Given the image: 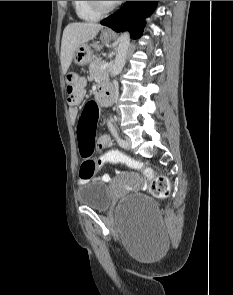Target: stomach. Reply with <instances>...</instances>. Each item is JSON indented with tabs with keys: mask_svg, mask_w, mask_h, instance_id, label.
Here are the masks:
<instances>
[{
	"mask_svg": "<svg viewBox=\"0 0 233 295\" xmlns=\"http://www.w3.org/2000/svg\"><path fill=\"white\" fill-rule=\"evenodd\" d=\"M113 36L114 34L112 32L104 30L100 34V40L102 42H109L113 38ZM91 47H94L97 50L100 49V46L97 43L91 45L84 43L77 48L73 56L75 64L79 66H85L89 62H91L93 53Z\"/></svg>",
	"mask_w": 233,
	"mask_h": 295,
	"instance_id": "obj_1",
	"label": "stomach"
}]
</instances>
